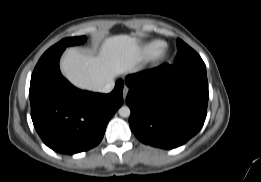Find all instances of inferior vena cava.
<instances>
[{"mask_svg": "<svg viewBox=\"0 0 261 182\" xmlns=\"http://www.w3.org/2000/svg\"><path fill=\"white\" fill-rule=\"evenodd\" d=\"M114 88V81L111 80L107 82L105 85L99 87L97 91L102 92V93H110Z\"/></svg>", "mask_w": 261, "mask_h": 182, "instance_id": "inferior-vena-cava-1", "label": "inferior vena cava"}]
</instances>
